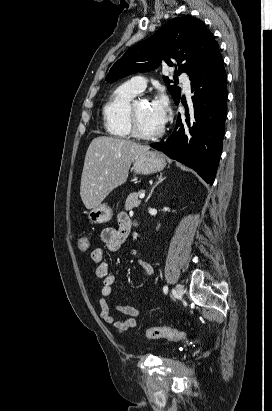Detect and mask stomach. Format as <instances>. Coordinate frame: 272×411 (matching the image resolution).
<instances>
[{"label":"stomach","mask_w":272,"mask_h":411,"mask_svg":"<svg viewBox=\"0 0 272 411\" xmlns=\"http://www.w3.org/2000/svg\"><path fill=\"white\" fill-rule=\"evenodd\" d=\"M166 166L165 158L156 151H146L132 161L131 171L135 174H152L161 171ZM112 210L107 204H100L89 212V220L94 224L109 222Z\"/></svg>","instance_id":"1"}]
</instances>
